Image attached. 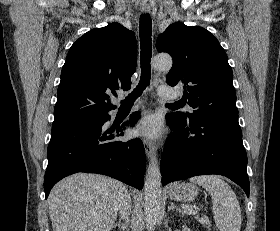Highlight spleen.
<instances>
[{"label":"spleen","mask_w":280,"mask_h":231,"mask_svg":"<svg viewBox=\"0 0 280 231\" xmlns=\"http://www.w3.org/2000/svg\"><path fill=\"white\" fill-rule=\"evenodd\" d=\"M190 181L209 191L214 219L220 231H240L242 217L239 201L230 185L219 175H196Z\"/></svg>","instance_id":"obj_1"}]
</instances>
